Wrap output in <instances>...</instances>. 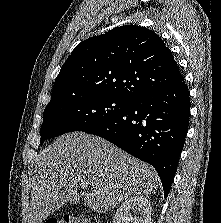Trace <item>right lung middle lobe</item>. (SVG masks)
<instances>
[{
    "label": "right lung middle lobe",
    "instance_id": "dd1d6c3e",
    "mask_svg": "<svg viewBox=\"0 0 221 223\" xmlns=\"http://www.w3.org/2000/svg\"><path fill=\"white\" fill-rule=\"evenodd\" d=\"M132 100L110 95H79L48 104L40 128L46 139L72 131H86L122 113Z\"/></svg>",
    "mask_w": 221,
    "mask_h": 223
}]
</instances>
